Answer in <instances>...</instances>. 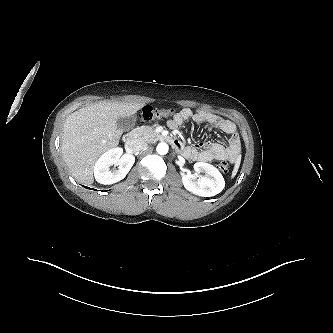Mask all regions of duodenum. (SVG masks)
I'll list each match as a JSON object with an SVG mask.
<instances>
[{
    "instance_id": "410a0bca",
    "label": "duodenum",
    "mask_w": 333,
    "mask_h": 333,
    "mask_svg": "<svg viewBox=\"0 0 333 333\" xmlns=\"http://www.w3.org/2000/svg\"><path fill=\"white\" fill-rule=\"evenodd\" d=\"M168 141L175 147L180 149L182 147L181 141L175 137H168ZM124 142L127 150H133L137 143V132L131 131L125 134Z\"/></svg>"
}]
</instances>
